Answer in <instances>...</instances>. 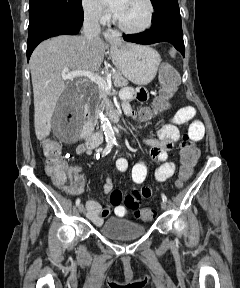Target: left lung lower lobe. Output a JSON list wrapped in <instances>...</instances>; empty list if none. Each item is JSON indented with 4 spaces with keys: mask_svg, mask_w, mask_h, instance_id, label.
<instances>
[{
    "mask_svg": "<svg viewBox=\"0 0 240 288\" xmlns=\"http://www.w3.org/2000/svg\"><path fill=\"white\" fill-rule=\"evenodd\" d=\"M124 40L139 44L170 42L184 56L183 32L181 19H164L153 23L152 27L139 34L123 35Z\"/></svg>",
    "mask_w": 240,
    "mask_h": 288,
    "instance_id": "0a47b994",
    "label": "left lung lower lobe"
}]
</instances>
